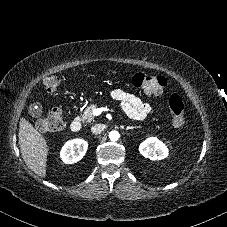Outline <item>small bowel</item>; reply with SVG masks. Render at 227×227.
Wrapping results in <instances>:
<instances>
[{"mask_svg": "<svg viewBox=\"0 0 227 227\" xmlns=\"http://www.w3.org/2000/svg\"><path fill=\"white\" fill-rule=\"evenodd\" d=\"M111 97L118 101L126 115L134 120H144L153 110V106L150 103L121 89L113 90Z\"/></svg>", "mask_w": 227, "mask_h": 227, "instance_id": "small-bowel-1", "label": "small bowel"}]
</instances>
